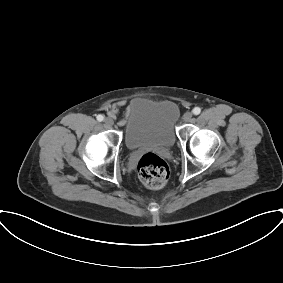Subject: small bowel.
I'll list each match as a JSON object with an SVG mask.
<instances>
[{"instance_id":"small-bowel-1","label":"small bowel","mask_w":283,"mask_h":283,"mask_svg":"<svg viewBox=\"0 0 283 283\" xmlns=\"http://www.w3.org/2000/svg\"><path fill=\"white\" fill-rule=\"evenodd\" d=\"M125 105V102L124 101H119L118 103L114 104L113 106H111L108 110V115L113 118V119H116L118 117V113H119V108L123 107ZM131 106V105H130ZM129 106V108H130ZM128 108V109H129ZM126 123V119L125 117H121L119 118L118 120V124L120 126H123L125 125Z\"/></svg>"}]
</instances>
